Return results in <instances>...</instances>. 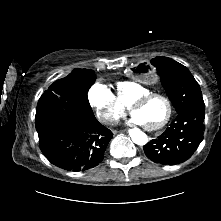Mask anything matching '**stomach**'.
I'll list each match as a JSON object with an SVG mask.
<instances>
[{
  "label": "stomach",
  "instance_id": "stomach-1",
  "mask_svg": "<svg viewBox=\"0 0 221 221\" xmlns=\"http://www.w3.org/2000/svg\"><path fill=\"white\" fill-rule=\"evenodd\" d=\"M131 77L143 84H151L157 78L156 69L148 62H136L130 68Z\"/></svg>",
  "mask_w": 221,
  "mask_h": 221
}]
</instances>
